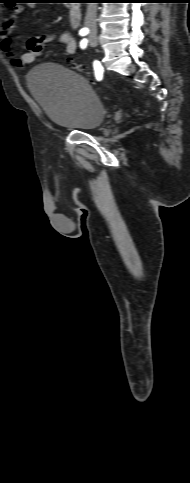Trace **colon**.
<instances>
[{
  "label": "colon",
  "instance_id": "obj_1",
  "mask_svg": "<svg viewBox=\"0 0 190 483\" xmlns=\"http://www.w3.org/2000/svg\"><path fill=\"white\" fill-rule=\"evenodd\" d=\"M68 63H69V64H70V65H71L73 68L77 69L78 71H83V70H84L83 65L75 63V62H74L72 59H69V60H68Z\"/></svg>",
  "mask_w": 190,
  "mask_h": 483
}]
</instances>
